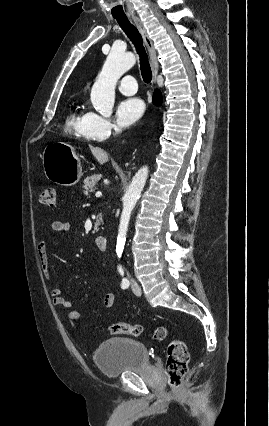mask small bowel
<instances>
[{
	"label": "small bowel",
	"instance_id": "small-bowel-1",
	"mask_svg": "<svg viewBox=\"0 0 269 426\" xmlns=\"http://www.w3.org/2000/svg\"><path fill=\"white\" fill-rule=\"evenodd\" d=\"M51 230L52 232L58 233V234L66 233L69 230V223L64 221H54L51 225ZM47 242L48 240L47 238H45L38 243L37 254H38L40 266L46 278L51 280L52 275L50 272V262H49V256H48ZM50 294L56 306L63 309L71 308L72 306L71 302L63 296L61 289L53 288L51 289ZM102 303L105 308H112L115 303L114 292L111 290L107 291L105 295L103 296ZM69 319L72 321H75L77 319V316L75 315L74 312L69 314Z\"/></svg>",
	"mask_w": 269,
	"mask_h": 426
}]
</instances>
